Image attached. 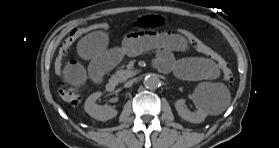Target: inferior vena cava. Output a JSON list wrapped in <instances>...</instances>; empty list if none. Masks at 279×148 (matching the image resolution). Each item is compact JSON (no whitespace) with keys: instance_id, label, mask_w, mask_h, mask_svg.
<instances>
[{"instance_id":"obj_1","label":"inferior vena cava","mask_w":279,"mask_h":148,"mask_svg":"<svg viewBox=\"0 0 279 148\" xmlns=\"http://www.w3.org/2000/svg\"><path fill=\"white\" fill-rule=\"evenodd\" d=\"M135 80H130L125 84V87H131Z\"/></svg>"}]
</instances>
